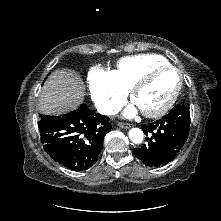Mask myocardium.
Segmentation results:
<instances>
[{
	"label": "myocardium",
	"instance_id": "obj_1",
	"mask_svg": "<svg viewBox=\"0 0 221 221\" xmlns=\"http://www.w3.org/2000/svg\"><path fill=\"white\" fill-rule=\"evenodd\" d=\"M165 71H174L176 72V74L178 75V83L177 86L173 92V94L171 95V97L168 99V101L161 106L160 108L156 109V110H151V111H147V110H142L141 112L144 116L149 117V118H157L160 117L162 115H164L165 113H167L172 106L175 104V102L177 101L182 86H183V76L181 71L172 65H165V66H158V67H154L152 69H150L149 71H147L133 86V88L131 89V100L133 102H135V98L138 95V93L144 88L146 87L154 78L155 76H157L159 73L161 72H165Z\"/></svg>",
	"mask_w": 221,
	"mask_h": 221
}]
</instances>
